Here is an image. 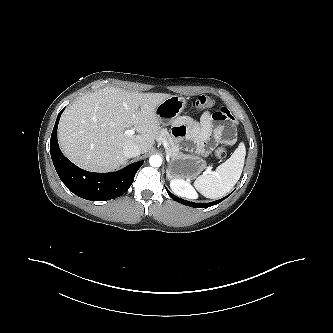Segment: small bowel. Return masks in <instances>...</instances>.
<instances>
[{
  "label": "small bowel",
  "instance_id": "1",
  "mask_svg": "<svg viewBox=\"0 0 333 333\" xmlns=\"http://www.w3.org/2000/svg\"><path fill=\"white\" fill-rule=\"evenodd\" d=\"M225 126L228 129V143L233 142V117L226 107H221L214 113L205 112L199 123L192 118L182 116L173 124L175 136L191 143L194 151L206 155L217 144L224 140Z\"/></svg>",
  "mask_w": 333,
  "mask_h": 333
}]
</instances>
